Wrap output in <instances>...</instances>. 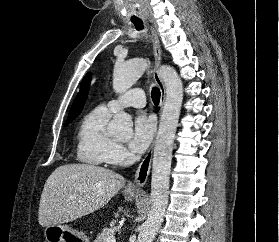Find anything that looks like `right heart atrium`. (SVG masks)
I'll use <instances>...</instances> for the list:
<instances>
[{
  "label": "right heart atrium",
  "instance_id": "right-heart-atrium-1",
  "mask_svg": "<svg viewBox=\"0 0 279 242\" xmlns=\"http://www.w3.org/2000/svg\"><path fill=\"white\" fill-rule=\"evenodd\" d=\"M128 158L129 154L126 149L122 145L117 144L111 156L110 162L114 164H121L127 161Z\"/></svg>",
  "mask_w": 279,
  "mask_h": 242
}]
</instances>
